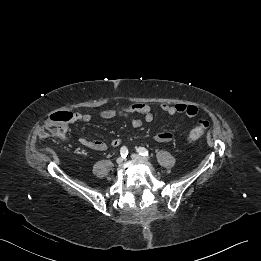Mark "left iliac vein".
Instances as JSON below:
<instances>
[{"label": "left iliac vein", "instance_id": "4c4485c4", "mask_svg": "<svg viewBox=\"0 0 261 261\" xmlns=\"http://www.w3.org/2000/svg\"><path fill=\"white\" fill-rule=\"evenodd\" d=\"M131 158L135 159V160H138V161H142L144 163H148V159L143 157V156H140L138 154H132L131 155Z\"/></svg>", "mask_w": 261, "mask_h": 261}]
</instances>
